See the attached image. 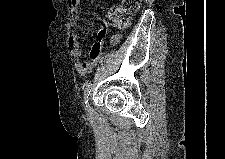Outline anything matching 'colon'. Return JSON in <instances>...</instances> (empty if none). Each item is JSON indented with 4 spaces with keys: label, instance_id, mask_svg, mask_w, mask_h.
<instances>
[{
    "label": "colon",
    "instance_id": "colon-1",
    "mask_svg": "<svg viewBox=\"0 0 225 159\" xmlns=\"http://www.w3.org/2000/svg\"><path fill=\"white\" fill-rule=\"evenodd\" d=\"M79 0H70L72 5H76ZM140 0H122L119 6H114L108 10L107 19L117 29H124L128 26L131 15L137 11Z\"/></svg>",
    "mask_w": 225,
    "mask_h": 159
}]
</instances>
